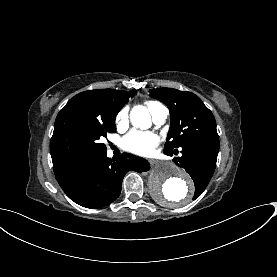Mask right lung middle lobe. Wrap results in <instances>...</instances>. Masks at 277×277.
<instances>
[{
  "mask_svg": "<svg viewBox=\"0 0 277 277\" xmlns=\"http://www.w3.org/2000/svg\"><path fill=\"white\" fill-rule=\"evenodd\" d=\"M68 129L66 137H52L50 152L53 168L74 159L106 150V145L99 141L108 133H115V123L104 125L96 120L70 114L62 119Z\"/></svg>",
  "mask_w": 277,
  "mask_h": 277,
  "instance_id": "obj_1",
  "label": "right lung middle lobe"
}]
</instances>
